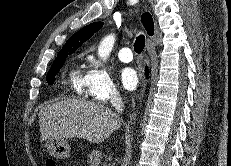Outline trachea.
Masks as SVG:
<instances>
[{
  "label": "trachea",
  "instance_id": "trachea-1",
  "mask_svg": "<svg viewBox=\"0 0 231 166\" xmlns=\"http://www.w3.org/2000/svg\"><path fill=\"white\" fill-rule=\"evenodd\" d=\"M145 46V37L144 35H139L136 37L135 43H134V51L138 54H140Z\"/></svg>",
  "mask_w": 231,
  "mask_h": 166
}]
</instances>
